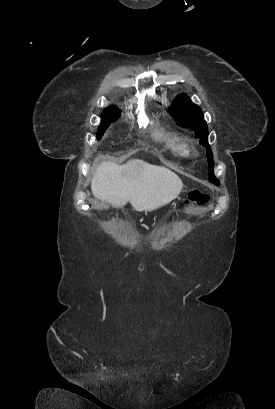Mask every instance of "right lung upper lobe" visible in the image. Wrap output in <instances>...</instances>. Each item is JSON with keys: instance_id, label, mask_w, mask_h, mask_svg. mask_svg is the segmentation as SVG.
<instances>
[{"instance_id": "1", "label": "right lung upper lobe", "mask_w": 275, "mask_h": 409, "mask_svg": "<svg viewBox=\"0 0 275 409\" xmlns=\"http://www.w3.org/2000/svg\"><path fill=\"white\" fill-rule=\"evenodd\" d=\"M104 112H117V108L116 107H111V108L105 109Z\"/></svg>"}]
</instances>
